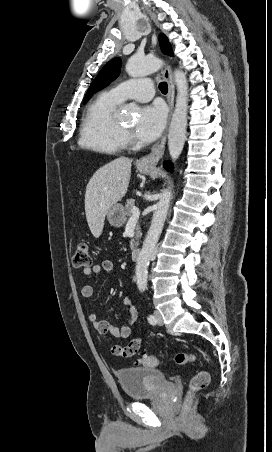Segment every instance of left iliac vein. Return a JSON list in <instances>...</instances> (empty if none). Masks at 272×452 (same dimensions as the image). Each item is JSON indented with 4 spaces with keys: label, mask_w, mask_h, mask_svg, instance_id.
<instances>
[{
    "label": "left iliac vein",
    "mask_w": 272,
    "mask_h": 452,
    "mask_svg": "<svg viewBox=\"0 0 272 452\" xmlns=\"http://www.w3.org/2000/svg\"><path fill=\"white\" fill-rule=\"evenodd\" d=\"M154 315H155L156 320H157L156 323H157L158 325H163V319H162V316H161L160 312H159V311H155V312H154Z\"/></svg>",
    "instance_id": "4c4485c4"
}]
</instances>
